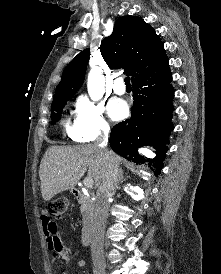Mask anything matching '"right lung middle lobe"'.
I'll return each instance as SVG.
<instances>
[{
    "instance_id": "right-lung-middle-lobe-1",
    "label": "right lung middle lobe",
    "mask_w": 221,
    "mask_h": 274,
    "mask_svg": "<svg viewBox=\"0 0 221 274\" xmlns=\"http://www.w3.org/2000/svg\"><path fill=\"white\" fill-rule=\"evenodd\" d=\"M72 96L73 95H64V96L54 98L51 106V109L53 112L51 114V118L53 123H56L58 120H60L63 107L66 105L67 101L71 99Z\"/></svg>"
}]
</instances>
